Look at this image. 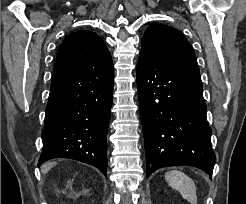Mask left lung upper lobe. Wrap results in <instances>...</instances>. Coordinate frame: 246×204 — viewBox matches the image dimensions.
<instances>
[{
	"label": "left lung upper lobe",
	"instance_id": "5c2ea615",
	"mask_svg": "<svg viewBox=\"0 0 246 204\" xmlns=\"http://www.w3.org/2000/svg\"><path fill=\"white\" fill-rule=\"evenodd\" d=\"M139 56L167 67L200 73L188 40L180 31L167 25L152 24L147 28Z\"/></svg>",
	"mask_w": 246,
	"mask_h": 204
}]
</instances>
